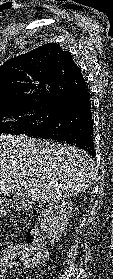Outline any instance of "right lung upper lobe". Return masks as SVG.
I'll return each instance as SVG.
<instances>
[{"label":"right lung upper lobe","mask_w":113,"mask_h":279,"mask_svg":"<svg viewBox=\"0 0 113 279\" xmlns=\"http://www.w3.org/2000/svg\"><path fill=\"white\" fill-rule=\"evenodd\" d=\"M86 86L72 55L47 43L0 67V108L34 104L64 107Z\"/></svg>","instance_id":"1"}]
</instances>
